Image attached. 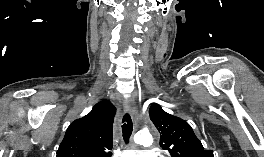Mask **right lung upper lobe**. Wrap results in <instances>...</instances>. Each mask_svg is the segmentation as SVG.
I'll return each instance as SVG.
<instances>
[{
    "label": "right lung upper lobe",
    "mask_w": 264,
    "mask_h": 157,
    "mask_svg": "<svg viewBox=\"0 0 264 157\" xmlns=\"http://www.w3.org/2000/svg\"><path fill=\"white\" fill-rule=\"evenodd\" d=\"M115 108L108 100L97 103L86 116L68 127L56 157H111Z\"/></svg>",
    "instance_id": "cb5924a9"
}]
</instances>
